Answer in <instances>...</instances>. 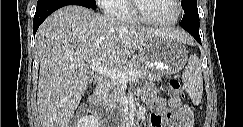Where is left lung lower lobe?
Masks as SVG:
<instances>
[{
	"instance_id": "left-lung-lower-lobe-1",
	"label": "left lung lower lobe",
	"mask_w": 243,
	"mask_h": 127,
	"mask_svg": "<svg viewBox=\"0 0 243 127\" xmlns=\"http://www.w3.org/2000/svg\"><path fill=\"white\" fill-rule=\"evenodd\" d=\"M180 26L189 32L197 42L201 44V39L199 35V14L198 11L185 12L182 18Z\"/></svg>"
}]
</instances>
